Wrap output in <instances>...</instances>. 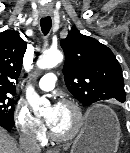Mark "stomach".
<instances>
[{"mask_svg":"<svg viewBox=\"0 0 130 153\" xmlns=\"http://www.w3.org/2000/svg\"><path fill=\"white\" fill-rule=\"evenodd\" d=\"M120 138L117 115L104 105H97L75 139L71 153H116Z\"/></svg>","mask_w":130,"mask_h":153,"instance_id":"1","label":"stomach"}]
</instances>
